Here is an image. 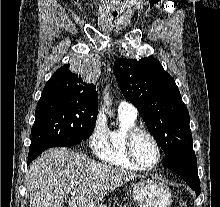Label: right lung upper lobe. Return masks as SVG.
Here are the masks:
<instances>
[{"mask_svg":"<svg viewBox=\"0 0 220 207\" xmlns=\"http://www.w3.org/2000/svg\"><path fill=\"white\" fill-rule=\"evenodd\" d=\"M69 66L64 64L60 67L48 80L42 93L72 94L98 104L95 85L84 82L81 75L70 70Z\"/></svg>","mask_w":220,"mask_h":207,"instance_id":"1","label":"right lung upper lobe"}]
</instances>
